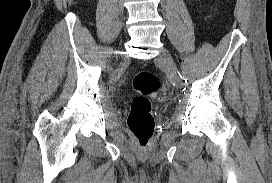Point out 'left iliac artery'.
Masks as SVG:
<instances>
[{
  "label": "left iliac artery",
  "mask_w": 272,
  "mask_h": 183,
  "mask_svg": "<svg viewBox=\"0 0 272 183\" xmlns=\"http://www.w3.org/2000/svg\"><path fill=\"white\" fill-rule=\"evenodd\" d=\"M178 75H179V76H182V73H181L180 71H178Z\"/></svg>",
  "instance_id": "44dca946"
}]
</instances>
